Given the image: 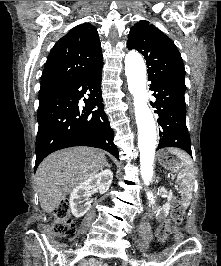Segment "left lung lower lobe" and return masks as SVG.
Here are the masks:
<instances>
[{
    "label": "left lung lower lobe",
    "mask_w": 221,
    "mask_h": 266,
    "mask_svg": "<svg viewBox=\"0 0 221 266\" xmlns=\"http://www.w3.org/2000/svg\"><path fill=\"white\" fill-rule=\"evenodd\" d=\"M151 81L150 90L154 91L156 101L152 106L159 115L160 142L158 149L177 147L185 150L192 156L190 135L186 126L185 90L160 81Z\"/></svg>",
    "instance_id": "0a47b994"
}]
</instances>
